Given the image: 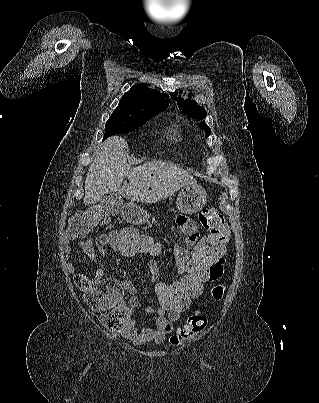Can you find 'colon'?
I'll return each instance as SVG.
<instances>
[{
    "label": "colon",
    "mask_w": 319,
    "mask_h": 403,
    "mask_svg": "<svg viewBox=\"0 0 319 403\" xmlns=\"http://www.w3.org/2000/svg\"><path fill=\"white\" fill-rule=\"evenodd\" d=\"M104 199L101 205L70 219L68 230L72 238L82 239L95 224L108 223L111 217H116L117 210L122 208L121 195L117 192H105ZM199 220L210 231H206V238H199L198 242H194L193 249L189 250L190 258H186L183 275H178L176 282H154V291H159L158 295L154 296L156 313H188L189 309H194V300L207 296L206 284H210V300L218 302L226 295L225 281L211 282L210 264L226 257L231 243L230 218H223L217 209L212 207L202 210ZM141 233V226H114L113 229H105L98 237L104 249H113L109 252L111 257L122 254L123 260H136L137 254H140L142 260H147L149 254H155V259L149 260V267L163 268L164 240H160L159 234ZM92 237L88 236L87 242L84 243V252H97L98 249L90 248ZM67 246L73 247L74 241L68 240ZM76 281L86 294L89 285L87 279L79 275ZM196 308L188 314L186 321L178 323V332L171 336V344L180 345L205 333L210 323L211 310L205 304H199Z\"/></svg>",
    "instance_id": "5ec220e1"
}]
</instances>
